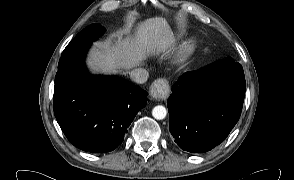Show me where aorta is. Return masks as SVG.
Masks as SVG:
<instances>
[{
	"instance_id": "aorta-1",
	"label": "aorta",
	"mask_w": 294,
	"mask_h": 180,
	"mask_svg": "<svg viewBox=\"0 0 294 180\" xmlns=\"http://www.w3.org/2000/svg\"><path fill=\"white\" fill-rule=\"evenodd\" d=\"M152 115L155 119L157 120H162L166 117L167 115V110L164 106L162 105H157L153 108L152 110Z\"/></svg>"
}]
</instances>
